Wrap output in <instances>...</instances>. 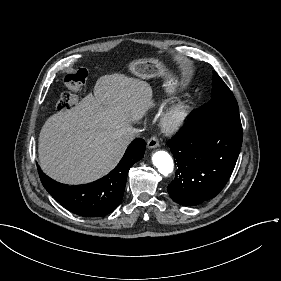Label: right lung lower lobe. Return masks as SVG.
<instances>
[{
	"instance_id": "1",
	"label": "right lung lower lobe",
	"mask_w": 281,
	"mask_h": 281,
	"mask_svg": "<svg viewBox=\"0 0 281 281\" xmlns=\"http://www.w3.org/2000/svg\"><path fill=\"white\" fill-rule=\"evenodd\" d=\"M144 152V140H134L111 173L87 186L66 187L49 179L39 168L38 171L46 190L66 209L85 217L105 216L121 203L128 171L144 156Z\"/></svg>"
}]
</instances>
